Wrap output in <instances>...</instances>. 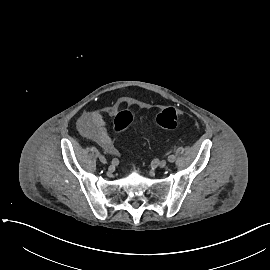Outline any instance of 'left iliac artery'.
I'll use <instances>...</instances> for the list:
<instances>
[{
  "label": "left iliac artery",
  "instance_id": "1",
  "mask_svg": "<svg viewBox=\"0 0 270 270\" xmlns=\"http://www.w3.org/2000/svg\"><path fill=\"white\" fill-rule=\"evenodd\" d=\"M176 160V156L175 155H170V156H168V161L169 162H174Z\"/></svg>",
  "mask_w": 270,
  "mask_h": 270
}]
</instances>
